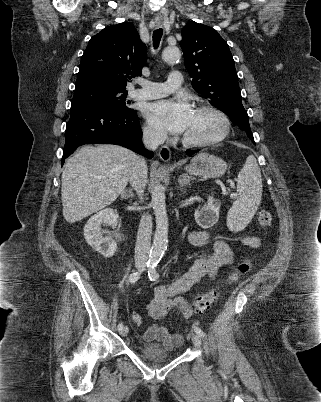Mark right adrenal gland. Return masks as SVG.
<instances>
[{
	"instance_id": "right-adrenal-gland-1",
	"label": "right adrenal gland",
	"mask_w": 321,
	"mask_h": 402,
	"mask_svg": "<svg viewBox=\"0 0 321 402\" xmlns=\"http://www.w3.org/2000/svg\"><path fill=\"white\" fill-rule=\"evenodd\" d=\"M135 195H134V193H133V191L132 190H125V191H123L122 192V194H121V197L122 198H129V197H131V198H133Z\"/></svg>"
}]
</instances>
